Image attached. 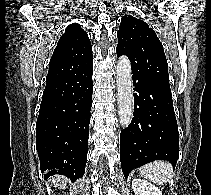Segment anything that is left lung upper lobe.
Segmentation results:
<instances>
[{"instance_id": "obj_1", "label": "left lung upper lobe", "mask_w": 211, "mask_h": 195, "mask_svg": "<svg viewBox=\"0 0 211 195\" xmlns=\"http://www.w3.org/2000/svg\"><path fill=\"white\" fill-rule=\"evenodd\" d=\"M117 55H126L132 72L142 74L171 94L168 64L162 43L144 21L125 15L118 31Z\"/></svg>"}]
</instances>
